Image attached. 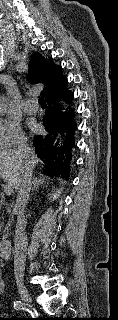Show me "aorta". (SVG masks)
Masks as SVG:
<instances>
[{
    "instance_id": "aorta-1",
    "label": "aorta",
    "mask_w": 118,
    "mask_h": 320,
    "mask_svg": "<svg viewBox=\"0 0 118 320\" xmlns=\"http://www.w3.org/2000/svg\"><path fill=\"white\" fill-rule=\"evenodd\" d=\"M7 104L5 101H0V113H3L6 110Z\"/></svg>"
}]
</instances>
